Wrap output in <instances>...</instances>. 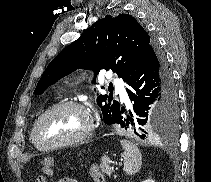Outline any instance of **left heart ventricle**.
<instances>
[{"instance_id": "left-heart-ventricle-1", "label": "left heart ventricle", "mask_w": 211, "mask_h": 182, "mask_svg": "<svg viewBox=\"0 0 211 182\" xmlns=\"http://www.w3.org/2000/svg\"><path fill=\"white\" fill-rule=\"evenodd\" d=\"M88 126L87 115L76 108H63L49 115L38 128V138L43 145L75 138Z\"/></svg>"}]
</instances>
